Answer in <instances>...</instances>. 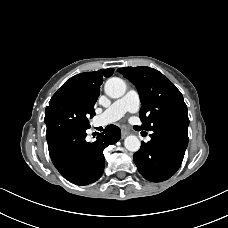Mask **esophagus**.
<instances>
[{
    "instance_id": "34e87169",
    "label": "esophagus",
    "mask_w": 228,
    "mask_h": 228,
    "mask_svg": "<svg viewBox=\"0 0 228 228\" xmlns=\"http://www.w3.org/2000/svg\"><path fill=\"white\" fill-rule=\"evenodd\" d=\"M128 134H129V131L128 130H126V129H122L121 130L122 138H125Z\"/></svg>"
}]
</instances>
